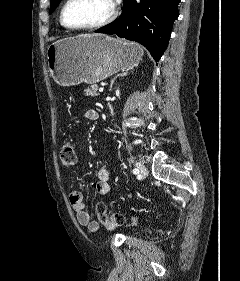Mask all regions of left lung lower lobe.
<instances>
[{
  "label": "left lung lower lobe",
  "instance_id": "0a47b994",
  "mask_svg": "<svg viewBox=\"0 0 240 281\" xmlns=\"http://www.w3.org/2000/svg\"><path fill=\"white\" fill-rule=\"evenodd\" d=\"M180 0H124L121 16L96 33L116 34L145 46L159 61L168 46Z\"/></svg>",
  "mask_w": 240,
  "mask_h": 281
}]
</instances>
